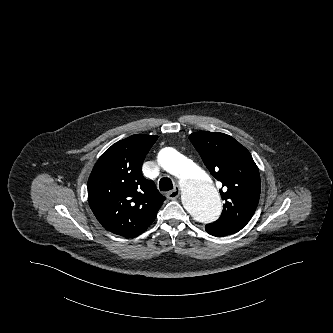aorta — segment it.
<instances>
[{"instance_id": "762f6f07", "label": "aorta", "mask_w": 333, "mask_h": 333, "mask_svg": "<svg viewBox=\"0 0 333 333\" xmlns=\"http://www.w3.org/2000/svg\"><path fill=\"white\" fill-rule=\"evenodd\" d=\"M158 162L179 178L183 207L196 221L210 223L219 217L222 206L218 190L200 167L170 147L159 152Z\"/></svg>"}]
</instances>
